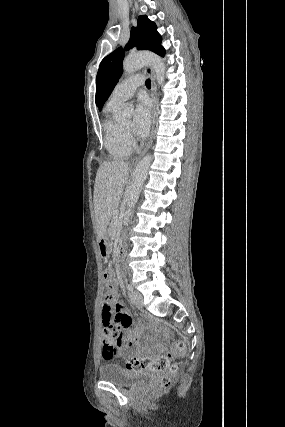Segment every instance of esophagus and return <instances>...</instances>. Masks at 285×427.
<instances>
[{
  "mask_svg": "<svg viewBox=\"0 0 285 427\" xmlns=\"http://www.w3.org/2000/svg\"><path fill=\"white\" fill-rule=\"evenodd\" d=\"M145 72L150 76L151 78V97L153 100V107H152V127H151V134H150V138L148 140V143L145 147V149L142 151V153L136 157L135 159L132 160L131 165L135 166L139 160L141 159V157L148 151V149L151 146L152 140H153V136L155 133V128H156V105H157V99H156V80H155V74L154 71L151 67L147 66L145 67Z\"/></svg>",
  "mask_w": 285,
  "mask_h": 427,
  "instance_id": "34e87169",
  "label": "esophagus"
}]
</instances>
